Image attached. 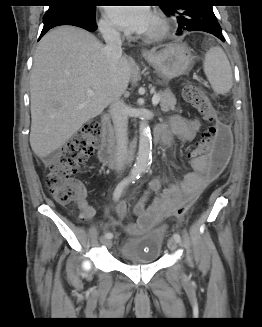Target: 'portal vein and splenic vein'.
Here are the masks:
<instances>
[{"label": "portal vein and splenic vein", "instance_id": "obj_1", "mask_svg": "<svg viewBox=\"0 0 262 327\" xmlns=\"http://www.w3.org/2000/svg\"><path fill=\"white\" fill-rule=\"evenodd\" d=\"M87 95H88V96H92V95H93V91H92V90H88V91H87ZM159 101H160V97H159L157 94H155V95L153 96V98H152V104H153L154 106H156V105H158Z\"/></svg>", "mask_w": 262, "mask_h": 327}]
</instances>
